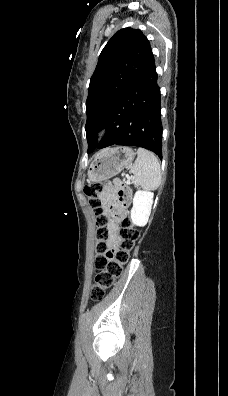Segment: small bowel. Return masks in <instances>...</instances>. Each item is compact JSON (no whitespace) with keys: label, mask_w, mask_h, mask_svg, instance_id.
<instances>
[{"label":"small bowel","mask_w":228,"mask_h":396,"mask_svg":"<svg viewBox=\"0 0 228 396\" xmlns=\"http://www.w3.org/2000/svg\"><path fill=\"white\" fill-rule=\"evenodd\" d=\"M101 202L104 214L108 217L107 228L110 232L109 243L114 246L117 240L119 221L123 215V208L118 204L116 194L109 189L102 192Z\"/></svg>","instance_id":"c3829d8e"}]
</instances>
